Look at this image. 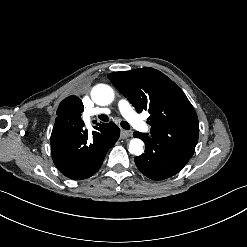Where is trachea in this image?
<instances>
[{"label": "trachea", "mask_w": 247, "mask_h": 247, "mask_svg": "<svg viewBox=\"0 0 247 247\" xmlns=\"http://www.w3.org/2000/svg\"><path fill=\"white\" fill-rule=\"evenodd\" d=\"M98 118L104 122H107L109 120V117L107 115H99ZM121 126L125 129V130H129L130 129V125L126 122V121H122L121 122Z\"/></svg>", "instance_id": "obj_1"}]
</instances>
